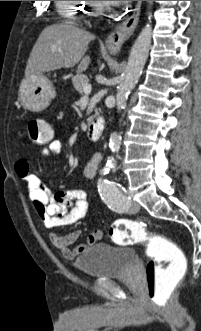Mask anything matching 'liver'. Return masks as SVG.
<instances>
[{"instance_id":"1","label":"liver","mask_w":201,"mask_h":331,"mask_svg":"<svg viewBox=\"0 0 201 331\" xmlns=\"http://www.w3.org/2000/svg\"><path fill=\"white\" fill-rule=\"evenodd\" d=\"M95 36L78 28L73 22L50 25L41 32L27 61L25 78L42 76L45 72L71 68L78 64L77 73L85 71L90 56L87 46Z\"/></svg>"}]
</instances>
